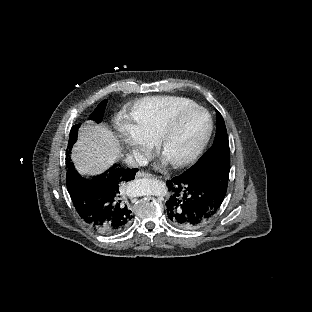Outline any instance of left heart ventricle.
I'll return each instance as SVG.
<instances>
[{
	"instance_id": "obj_1",
	"label": "left heart ventricle",
	"mask_w": 312,
	"mask_h": 312,
	"mask_svg": "<svg viewBox=\"0 0 312 312\" xmlns=\"http://www.w3.org/2000/svg\"><path fill=\"white\" fill-rule=\"evenodd\" d=\"M195 127L194 121L189 120L186 122L185 127L181 128L179 134L172 137L171 143L168 144L167 149L169 152L174 153L178 149V145L181 149L186 150L190 145L193 144L195 138Z\"/></svg>"
}]
</instances>
